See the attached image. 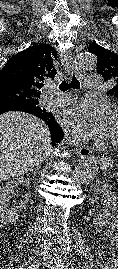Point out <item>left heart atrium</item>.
<instances>
[{
	"mask_svg": "<svg viewBox=\"0 0 118 269\" xmlns=\"http://www.w3.org/2000/svg\"><path fill=\"white\" fill-rule=\"evenodd\" d=\"M112 116L107 103L83 100L70 107L65 121L79 137L102 139L108 134Z\"/></svg>",
	"mask_w": 118,
	"mask_h": 269,
	"instance_id": "left-heart-atrium-1",
	"label": "left heart atrium"
}]
</instances>
